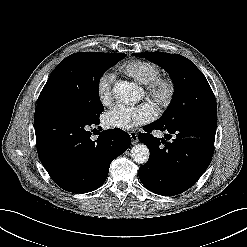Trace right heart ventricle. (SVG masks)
<instances>
[{
  "mask_svg": "<svg viewBox=\"0 0 247 247\" xmlns=\"http://www.w3.org/2000/svg\"><path fill=\"white\" fill-rule=\"evenodd\" d=\"M121 71L135 82L146 85L160 76V68L151 62L135 60L127 62Z\"/></svg>",
  "mask_w": 247,
  "mask_h": 247,
  "instance_id": "obj_1",
  "label": "right heart ventricle"
}]
</instances>
